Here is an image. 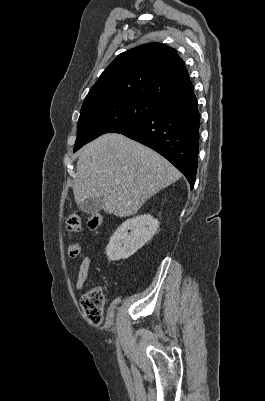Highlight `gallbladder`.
Segmentation results:
<instances>
[{
    "instance_id": "bac80fb5",
    "label": "gallbladder",
    "mask_w": 265,
    "mask_h": 401,
    "mask_svg": "<svg viewBox=\"0 0 265 401\" xmlns=\"http://www.w3.org/2000/svg\"><path fill=\"white\" fill-rule=\"evenodd\" d=\"M79 211L83 213H91L97 215L103 209V196H94V198H87V201L78 205Z\"/></svg>"
}]
</instances>
